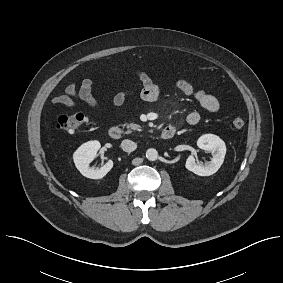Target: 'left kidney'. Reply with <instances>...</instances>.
<instances>
[{
  "label": "left kidney",
  "instance_id": "5707ae66",
  "mask_svg": "<svg viewBox=\"0 0 283 283\" xmlns=\"http://www.w3.org/2000/svg\"><path fill=\"white\" fill-rule=\"evenodd\" d=\"M197 146L212 153L211 161L199 165L195 162L194 156L190 155L186 160L185 167L199 176H210L216 173L224 162L226 154L225 142L214 134H204L197 140Z\"/></svg>",
  "mask_w": 283,
  "mask_h": 283
}]
</instances>
